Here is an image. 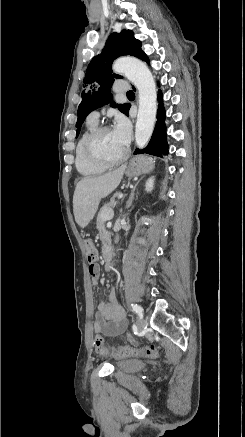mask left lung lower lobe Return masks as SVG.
<instances>
[{"instance_id": "left-lung-lower-lobe-1", "label": "left lung lower lobe", "mask_w": 245, "mask_h": 437, "mask_svg": "<svg viewBox=\"0 0 245 437\" xmlns=\"http://www.w3.org/2000/svg\"><path fill=\"white\" fill-rule=\"evenodd\" d=\"M140 59L149 63V59L145 53L140 57ZM158 101H159V108L157 112V122L151 140L149 141L148 145L144 149L142 150L136 149L134 154H150L159 157H163V155L168 154V144L166 140V127L164 124L165 110L162 103L161 91L158 92ZM126 115L128 116V113Z\"/></svg>"}]
</instances>
